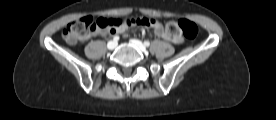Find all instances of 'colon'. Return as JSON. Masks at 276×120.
I'll use <instances>...</instances> for the list:
<instances>
[{
	"mask_svg": "<svg viewBox=\"0 0 276 120\" xmlns=\"http://www.w3.org/2000/svg\"><path fill=\"white\" fill-rule=\"evenodd\" d=\"M151 18H134L124 22H119L109 18L84 17L66 26L62 32L63 39L69 44H75L79 40L84 39L88 35L98 32L116 31L122 26H145L150 27L152 24ZM166 33L171 36L182 34L187 39L193 40L198 35L197 25L187 19L179 21H170L166 24Z\"/></svg>",
	"mask_w": 276,
	"mask_h": 120,
	"instance_id": "5ec220e1",
	"label": "colon"
}]
</instances>
